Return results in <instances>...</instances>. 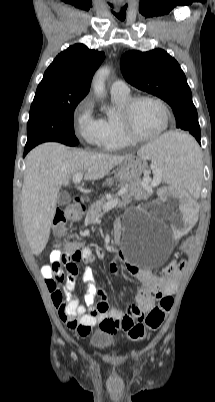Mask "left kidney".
Instances as JSON below:
<instances>
[{
  "mask_svg": "<svg viewBox=\"0 0 215 402\" xmlns=\"http://www.w3.org/2000/svg\"><path fill=\"white\" fill-rule=\"evenodd\" d=\"M159 190L162 203L168 205V215L174 219L169 227L175 232V239H184L199 219L198 201H192L187 193L177 191V186L172 184H161Z\"/></svg>",
  "mask_w": 215,
  "mask_h": 402,
  "instance_id": "obj_1",
  "label": "left kidney"
}]
</instances>
